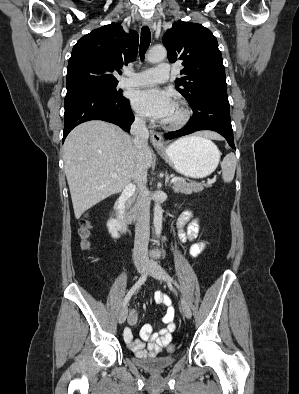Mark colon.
I'll list each match as a JSON object with an SVG mask.
<instances>
[{"label": "colon", "mask_w": 299, "mask_h": 394, "mask_svg": "<svg viewBox=\"0 0 299 394\" xmlns=\"http://www.w3.org/2000/svg\"><path fill=\"white\" fill-rule=\"evenodd\" d=\"M90 223L88 221H83L80 227V235L83 239L82 246L84 249H88L90 247V243L88 241V237L90 235ZM175 347L173 345L169 346V350L173 351Z\"/></svg>", "instance_id": "5ec220e1"}]
</instances>
